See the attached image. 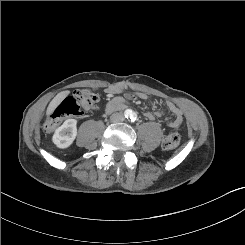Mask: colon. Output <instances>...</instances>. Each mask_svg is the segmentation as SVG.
<instances>
[{
    "mask_svg": "<svg viewBox=\"0 0 245 245\" xmlns=\"http://www.w3.org/2000/svg\"><path fill=\"white\" fill-rule=\"evenodd\" d=\"M100 96L90 89L75 91L71 96L65 98L46 119L44 130L52 132L59 123L68 117L80 116L91 113L99 108ZM180 136L177 132L168 134L162 141L165 151H172L179 145Z\"/></svg>",
    "mask_w": 245,
    "mask_h": 245,
    "instance_id": "5ec220e1",
    "label": "colon"
}]
</instances>
